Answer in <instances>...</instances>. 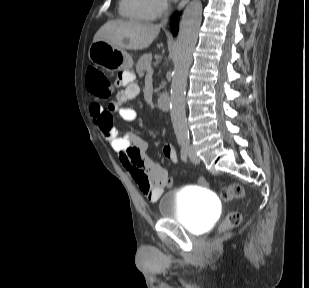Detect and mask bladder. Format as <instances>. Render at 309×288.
<instances>
[{
    "mask_svg": "<svg viewBox=\"0 0 309 288\" xmlns=\"http://www.w3.org/2000/svg\"><path fill=\"white\" fill-rule=\"evenodd\" d=\"M219 203L203 187L164 192L158 199L160 218L178 220L186 229L203 232L215 222Z\"/></svg>",
    "mask_w": 309,
    "mask_h": 288,
    "instance_id": "bladder-1",
    "label": "bladder"
}]
</instances>
